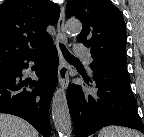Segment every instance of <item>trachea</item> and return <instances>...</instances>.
<instances>
[{
	"instance_id": "trachea-1",
	"label": "trachea",
	"mask_w": 144,
	"mask_h": 137,
	"mask_svg": "<svg viewBox=\"0 0 144 137\" xmlns=\"http://www.w3.org/2000/svg\"><path fill=\"white\" fill-rule=\"evenodd\" d=\"M60 48H61V51L64 55V57L67 59V60H78L76 57H74L66 48L63 44H60Z\"/></svg>"
}]
</instances>
